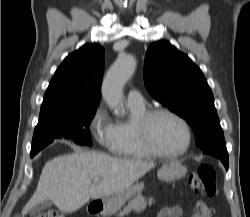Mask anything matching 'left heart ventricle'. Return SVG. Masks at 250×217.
I'll use <instances>...</instances> for the list:
<instances>
[{"mask_svg": "<svg viewBox=\"0 0 250 217\" xmlns=\"http://www.w3.org/2000/svg\"><path fill=\"white\" fill-rule=\"evenodd\" d=\"M150 131L153 142L163 152L181 150L186 144L184 128L171 116H156L151 123Z\"/></svg>", "mask_w": 250, "mask_h": 217, "instance_id": "b2bd125f", "label": "left heart ventricle"}]
</instances>
